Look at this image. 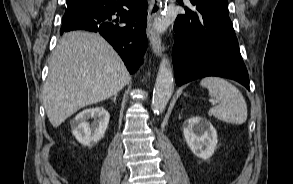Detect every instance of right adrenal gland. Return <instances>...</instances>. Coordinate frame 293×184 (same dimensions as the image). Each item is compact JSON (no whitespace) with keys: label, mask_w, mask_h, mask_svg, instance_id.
I'll list each match as a JSON object with an SVG mask.
<instances>
[{"label":"right adrenal gland","mask_w":293,"mask_h":184,"mask_svg":"<svg viewBox=\"0 0 293 184\" xmlns=\"http://www.w3.org/2000/svg\"><path fill=\"white\" fill-rule=\"evenodd\" d=\"M116 98H117V94L114 95L113 97H111V99L113 100L114 103H116Z\"/></svg>","instance_id":"obj_1"}]
</instances>
